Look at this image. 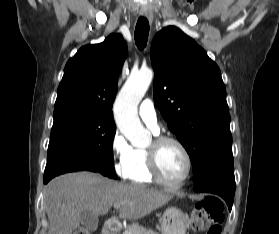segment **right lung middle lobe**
I'll list each match as a JSON object with an SVG mask.
<instances>
[{"mask_svg":"<svg viewBox=\"0 0 279 234\" xmlns=\"http://www.w3.org/2000/svg\"><path fill=\"white\" fill-rule=\"evenodd\" d=\"M114 119L81 112L54 113L45 172L69 160H81L110 178L116 179L112 163Z\"/></svg>","mask_w":279,"mask_h":234,"instance_id":"obj_1","label":"right lung middle lobe"}]
</instances>
